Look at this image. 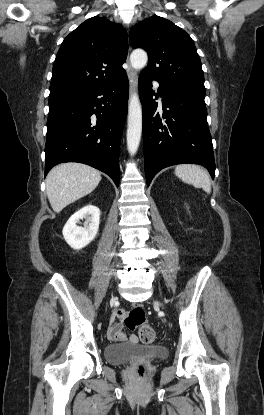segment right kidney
I'll return each instance as SVG.
<instances>
[{"instance_id":"1","label":"right kidney","mask_w":264,"mask_h":415,"mask_svg":"<svg viewBox=\"0 0 264 415\" xmlns=\"http://www.w3.org/2000/svg\"><path fill=\"white\" fill-rule=\"evenodd\" d=\"M86 219L84 227L77 226L81 219ZM100 222V210L93 205H86L75 212L63 228L65 241L71 248L79 250L87 246L97 235Z\"/></svg>"}]
</instances>
